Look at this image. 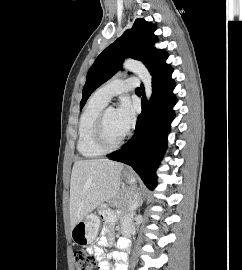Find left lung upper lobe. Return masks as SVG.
Instances as JSON below:
<instances>
[{"label":"left lung upper lobe","mask_w":242,"mask_h":270,"mask_svg":"<svg viewBox=\"0 0 242 270\" xmlns=\"http://www.w3.org/2000/svg\"><path fill=\"white\" fill-rule=\"evenodd\" d=\"M155 30L156 26L151 22L136 19L130 30L125 31L120 38L100 53L88 71L80 109L97 87L120 69L125 58L131 57L141 61L150 72L162 64V60H165L168 55L163 50L154 47L157 41L154 35Z\"/></svg>","instance_id":"1"}]
</instances>
